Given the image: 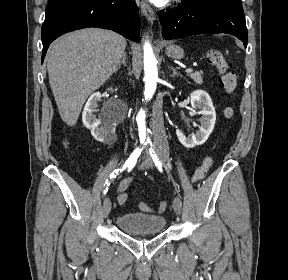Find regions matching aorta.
Wrapping results in <instances>:
<instances>
[{"label":"aorta","instance_id":"1","mask_svg":"<svg viewBox=\"0 0 288 280\" xmlns=\"http://www.w3.org/2000/svg\"><path fill=\"white\" fill-rule=\"evenodd\" d=\"M158 80L157 61L155 59L151 45L146 42L144 45V96L146 100H150L156 90ZM148 106H139V111L135 115V120H147ZM137 136L140 140H149L151 136V126H145V121H140Z\"/></svg>","mask_w":288,"mask_h":280}]
</instances>
